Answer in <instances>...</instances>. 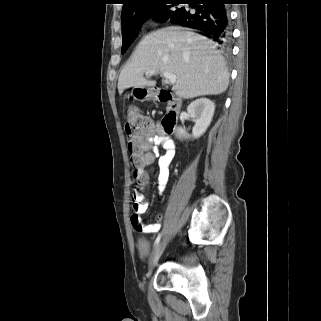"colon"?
<instances>
[{
  "label": "colon",
  "instance_id": "1",
  "mask_svg": "<svg viewBox=\"0 0 321 321\" xmlns=\"http://www.w3.org/2000/svg\"><path fill=\"white\" fill-rule=\"evenodd\" d=\"M152 126V122L140 109L134 106L127 109L125 132L128 140V151L134 166L133 177L137 183L143 182L146 179L143 167L146 163V156L149 152V147L146 144L145 139L151 133ZM139 197L147 198L148 192L140 191ZM133 216L137 219V215L133 214Z\"/></svg>",
  "mask_w": 321,
  "mask_h": 321
}]
</instances>
